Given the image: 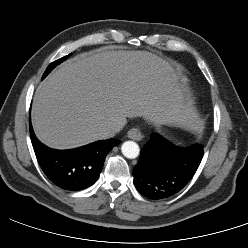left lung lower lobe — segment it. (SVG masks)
I'll list each match as a JSON object with an SVG mask.
<instances>
[{
  "instance_id": "left-lung-lower-lobe-1",
  "label": "left lung lower lobe",
  "mask_w": 248,
  "mask_h": 248,
  "mask_svg": "<svg viewBox=\"0 0 248 248\" xmlns=\"http://www.w3.org/2000/svg\"><path fill=\"white\" fill-rule=\"evenodd\" d=\"M203 155L204 147L200 144L177 147L152 133L133 169L134 186L152 200L171 197L192 179Z\"/></svg>"
}]
</instances>
